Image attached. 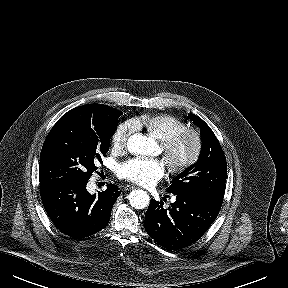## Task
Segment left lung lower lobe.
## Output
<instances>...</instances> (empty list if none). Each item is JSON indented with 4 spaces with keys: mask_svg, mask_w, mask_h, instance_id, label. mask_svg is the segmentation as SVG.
<instances>
[{
    "mask_svg": "<svg viewBox=\"0 0 288 288\" xmlns=\"http://www.w3.org/2000/svg\"><path fill=\"white\" fill-rule=\"evenodd\" d=\"M167 209L151 199L145 215V230L159 245L179 250L200 239L216 219L221 205L206 198L175 195Z\"/></svg>",
    "mask_w": 288,
    "mask_h": 288,
    "instance_id": "left-lung-lower-lobe-1",
    "label": "left lung lower lobe"
}]
</instances>
